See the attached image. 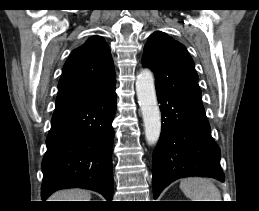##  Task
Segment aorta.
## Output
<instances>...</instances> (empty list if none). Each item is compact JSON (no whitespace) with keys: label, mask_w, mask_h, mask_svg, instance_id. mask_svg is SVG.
I'll return each mask as SVG.
<instances>
[{"label":"aorta","mask_w":259,"mask_h":211,"mask_svg":"<svg viewBox=\"0 0 259 211\" xmlns=\"http://www.w3.org/2000/svg\"><path fill=\"white\" fill-rule=\"evenodd\" d=\"M138 103L142 112L145 137L150 145L155 144L161 133V113L157 102L154 77L150 70L144 69L136 79Z\"/></svg>","instance_id":"762f6f07"}]
</instances>
